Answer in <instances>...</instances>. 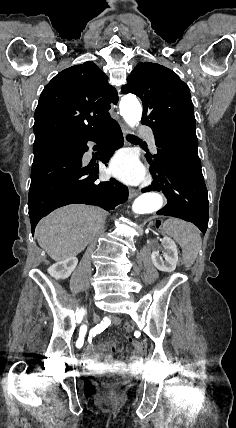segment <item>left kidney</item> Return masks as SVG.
<instances>
[{"label": "left kidney", "mask_w": 236, "mask_h": 428, "mask_svg": "<svg viewBox=\"0 0 236 428\" xmlns=\"http://www.w3.org/2000/svg\"><path fill=\"white\" fill-rule=\"evenodd\" d=\"M163 256H160L159 252H152L151 260L160 272H174L176 264L178 262L177 246L171 238H163Z\"/></svg>", "instance_id": "left-kidney-1"}]
</instances>
